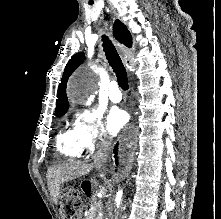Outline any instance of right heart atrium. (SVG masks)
<instances>
[{
  "mask_svg": "<svg viewBox=\"0 0 221 219\" xmlns=\"http://www.w3.org/2000/svg\"><path fill=\"white\" fill-rule=\"evenodd\" d=\"M73 130L82 153L90 154L105 145V130L98 112L92 110L75 112Z\"/></svg>",
  "mask_w": 221,
  "mask_h": 219,
  "instance_id": "obj_1",
  "label": "right heart atrium"
}]
</instances>
